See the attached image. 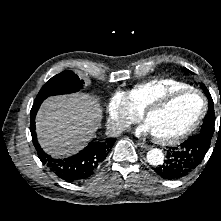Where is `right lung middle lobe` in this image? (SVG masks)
Here are the masks:
<instances>
[{"label":"right lung middle lobe","mask_w":221,"mask_h":221,"mask_svg":"<svg viewBox=\"0 0 221 221\" xmlns=\"http://www.w3.org/2000/svg\"><path fill=\"white\" fill-rule=\"evenodd\" d=\"M83 83L74 72L65 70L47 81L35 100L45 99L52 95L77 92L83 87Z\"/></svg>","instance_id":"obj_1"}]
</instances>
